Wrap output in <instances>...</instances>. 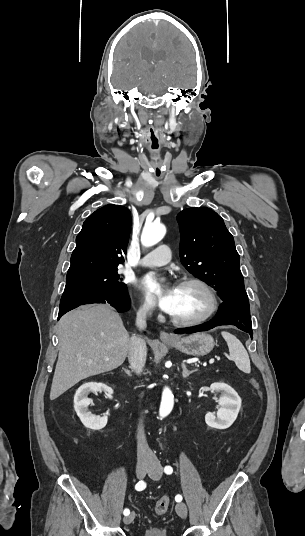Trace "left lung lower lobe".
<instances>
[{
  "label": "left lung lower lobe",
  "mask_w": 305,
  "mask_h": 536,
  "mask_svg": "<svg viewBox=\"0 0 305 536\" xmlns=\"http://www.w3.org/2000/svg\"><path fill=\"white\" fill-rule=\"evenodd\" d=\"M220 325H235L239 329L248 332L252 338L250 308L248 300H234L223 302L216 316L208 323L192 328L175 330L176 334L194 333L206 331Z\"/></svg>",
  "instance_id": "0a47b994"
}]
</instances>
